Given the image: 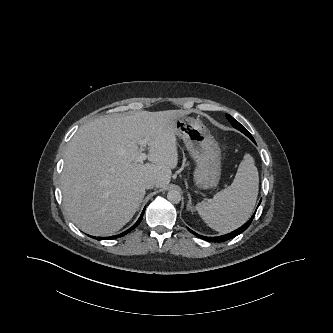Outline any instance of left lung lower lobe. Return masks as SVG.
Returning <instances> with one entry per match:
<instances>
[{"label": "left lung lower lobe", "instance_id": "obj_1", "mask_svg": "<svg viewBox=\"0 0 333 333\" xmlns=\"http://www.w3.org/2000/svg\"><path fill=\"white\" fill-rule=\"evenodd\" d=\"M255 143V141H253ZM261 201L259 202V205H260ZM258 205V206H259ZM256 213V212H255ZM255 213L253 214V216L243 225L241 226L240 228L234 230L233 232L231 233H228V234H225V235H222V236H217V237H205V236H201V235H198L197 233H195L194 231H192L191 229H188L191 233H193L194 235L204 239V240H210V241H213V242H224V241H227L229 239H232L234 237H236L237 235H239L240 233H242L243 231H245L249 225L251 224V221L252 219L254 218L255 216Z\"/></svg>", "mask_w": 333, "mask_h": 333}]
</instances>
